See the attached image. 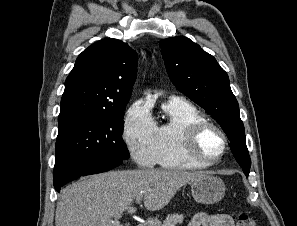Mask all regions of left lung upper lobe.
<instances>
[{"label": "left lung upper lobe", "mask_w": 297, "mask_h": 226, "mask_svg": "<svg viewBox=\"0 0 297 226\" xmlns=\"http://www.w3.org/2000/svg\"><path fill=\"white\" fill-rule=\"evenodd\" d=\"M160 47L172 83L220 124L234 157L248 176L251 160L244 125L227 73L212 55L184 36L164 39Z\"/></svg>", "instance_id": "left-lung-upper-lobe-1"}]
</instances>
